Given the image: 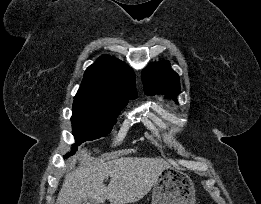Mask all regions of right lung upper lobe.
Returning a JSON list of instances; mask_svg holds the SVG:
<instances>
[{
	"instance_id": "cb5924a9",
	"label": "right lung upper lobe",
	"mask_w": 261,
	"mask_h": 204,
	"mask_svg": "<svg viewBox=\"0 0 261 204\" xmlns=\"http://www.w3.org/2000/svg\"><path fill=\"white\" fill-rule=\"evenodd\" d=\"M135 74L124 62L109 55L101 56L85 71L75 100L99 105H126L136 99Z\"/></svg>"
}]
</instances>
